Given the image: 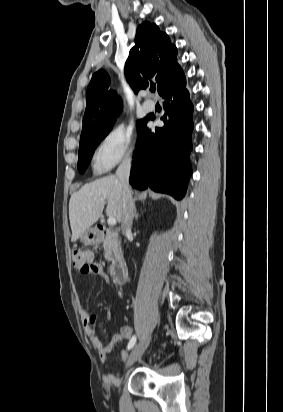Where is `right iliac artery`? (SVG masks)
Here are the masks:
<instances>
[{
  "label": "right iliac artery",
  "mask_w": 283,
  "mask_h": 412,
  "mask_svg": "<svg viewBox=\"0 0 283 412\" xmlns=\"http://www.w3.org/2000/svg\"><path fill=\"white\" fill-rule=\"evenodd\" d=\"M135 343H136V336H133L131 338V340L129 341V343H128V347H127L128 350L132 349L134 347Z\"/></svg>",
  "instance_id": "right-iliac-artery-1"
}]
</instances>
